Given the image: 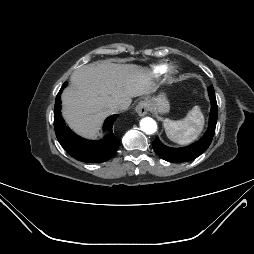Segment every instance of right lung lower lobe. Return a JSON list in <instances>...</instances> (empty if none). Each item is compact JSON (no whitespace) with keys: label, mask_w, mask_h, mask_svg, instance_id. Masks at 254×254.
Wrapping results in <instances>:
<instances>
[{"label":"right lung lower lobe","mask_w":254,"mask_h":254,"mask_svg":"<svg viewBox=\"0 0 254 254\" xmlns=\"http://www.w3.org/2000/svg\"><path fill=\"white\" fill-rule=\"evenodd\" d=\"M66 85L65 82L57 94L54 108V129L59 143L69 155L79 161L102 163L109 160L119 147V140L112 132L102 140L89 141L79 137L66 126L61 116V93ZM116 118L117 115L108 117L104 122L103 130L111 131Z\"/></svg>","instance_id":"right-lung-lower-lobe-1"}]
</instances>
